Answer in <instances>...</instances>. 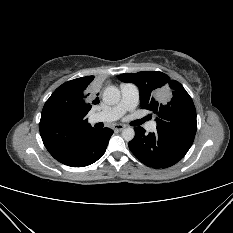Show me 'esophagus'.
<instances>
[{"label": "esophagus", "mask_w": 233, "mask_h": 233, "mask_svg": "<svg viewBox=\"0 0 233 233\" xmlns=\"http://www.w3.org/2000/svg\"><path fill=\"white\" fill-rule=\"evenodd\" d=\"M126 128V125H123V124H115L114 126H113V129L114 130H117V131H121V130H123V129H125Z\"/></svg>", "instance_id": "esophagus-1"}]
</instances>
